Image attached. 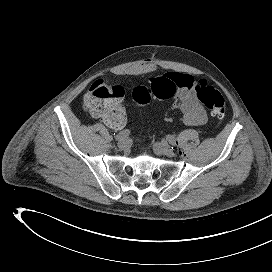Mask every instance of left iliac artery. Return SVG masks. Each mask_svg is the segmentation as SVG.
I'll return each instance as SVG.
<instances>
[{"instance_id":"44dca946","label":"left iliac artery","mask_w":272,"mask_h":272,"mask_svg":"<svg viewBox=\"0 0 272 272\" xmlns=\"http://www.w3.org/2000/svg\"><path fill=\"white\" fill-rule=\"evenodd\" d=\"M166 139L171 145H173V146L176 145V139H175V137L173 135H167Z\"/></svg>"}]
</instances>
